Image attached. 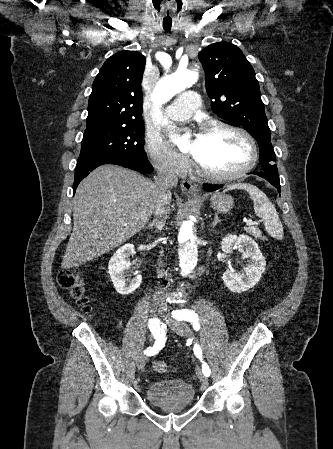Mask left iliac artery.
Listing matches in <instances>:
<instances>
[{"label":"left iliac artery","instance_id":"44dca946","mask_svg":"<svg viewBox=\"0 0 333 449\" xmlns=\"http://www.w3.org/2000/svg\"><path fill=\"white\" fill-rule=\"evenodd\" d=\"M172 316H173V318H176L178 320H186V321L191 322L196 331H198L200 328L199 323H198V316L192 310H188V309L176 310V311H173ZM193 350H194L195 356L202 361V349L199 346V344L196 343L194 345ZM202 372L207 377L210 376V374H211V370H210L209 366L204 361H202Z\"/></svg>","mask_w":333,"mask_h":449}]
</instances>
